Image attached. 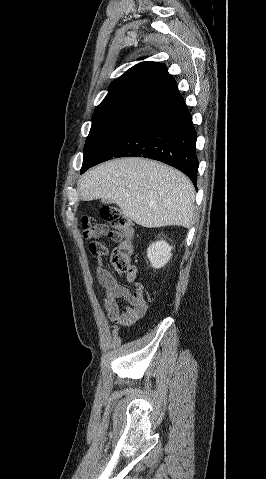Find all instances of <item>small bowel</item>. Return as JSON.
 I'll return each instance as SVG.
<instances>
[{"instance_id":"1","label":"small bowel","mask_w":266,"mask_h":479,"mask_svg":"<svg viewBox=\"0 0 266 479\" xmlns=\"http://www.w3.org/2000/svg\"><path fill=\"white\" fill-rule=\"evenodd\" d=\"M98 237H108L114 241L120 239V235L114 231H104ZM98 266L96 268L97 278L100 285L105 290L103 306L110 322L117 326L127 327L134 324L148 310V303L144 299V292L141 285L136 283L135 270L128 276L131 284H136V289L130 291L128 288L120 285L112 274L103 266L102 258H97ZM123 299L127 305L122 307L119 300Z\"/></svg>"}]
</instances>
